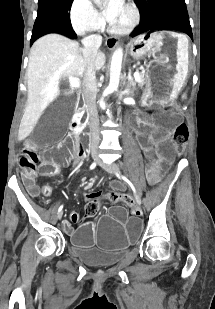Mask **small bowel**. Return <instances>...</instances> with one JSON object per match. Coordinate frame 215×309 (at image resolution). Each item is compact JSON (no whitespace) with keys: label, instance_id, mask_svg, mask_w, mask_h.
Instances as JSON below:
<instances>
[{"label":"small bowel","instance_id":"small-bowel-1","mask_svg":"<svg viewBox=\"0 0 215 309\" xmlns=\"http://www.w3.org/2000/svg\"><path fill=\"white\" fill-rule=\"evenodd\" d=\"M29 192H30V194L32 195V196H36V195H38V193H39V190H38V188L32 183V184H30L29 185ZM131 207H132V212H133V210L134 209H139L137 206H136V204L133 202L132 203V205H130Z\"/></svg>","mask_w":215,"mask_h":309}]
</instances>
